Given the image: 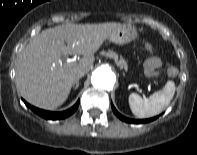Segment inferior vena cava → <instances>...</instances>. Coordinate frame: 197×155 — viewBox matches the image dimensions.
Segmentation results:
<instances>
[{
  "instance_id": "602c4592",
  "label": "inferior vena cava",
  "mask_w": 197,
  "mask_h": 155,
  "mask_svg": "<svg viewBox=\"0 0 197 155\" xmlns=\"http://www.w3.org/2000/svg\"><path fill=\"white\" fill-rule=\"evenodd\" d=\"M87 72H88L87 69H84V68L79 69V70L77 71V77H78V76H84Z\"/></svg>"
}]
</instances>
